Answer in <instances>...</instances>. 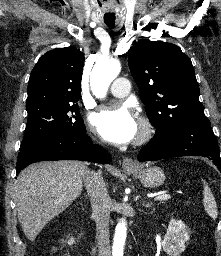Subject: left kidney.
<instances>
[{"instance_id": "5707ae66", "label": "left kidney", "mask_w": 221, "mask_h": 256, "mask_svg": "<svg viewBox=\"0 0 221 256\" xmlns=\"http://www.w3.org/2000/svg\"><path fill=\"white\" fill-rule=\"evenodd\" d=\"M189 240L187 226L181 220L171 219L162 242L163 250L169 256H179Z\"/></svg>"}]
</instances>
